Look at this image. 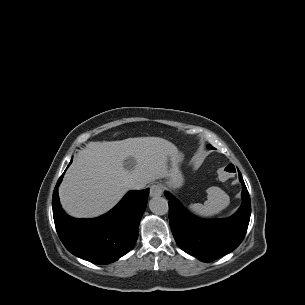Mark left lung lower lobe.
Here are the masks:
<instances>
[{"mask_svg": "<svg viewBox=\"0 0 305 305\" xmlns=\"http://www.w3.org/2000/svg\"><path fill=\"white\" fill-rule=\"evenodd\" d=\"M239 179L243 186V203L233 216L225 219H200L170 193L165 192L169 199L171 230L182 250L203 262H210L239 246L246 234L251 214L250 197L241 174Z\"/></svg>", "mask_w": 305, "mask_h": 305, "instance_id": "left-lung-lower-lobe-1", "label": "left lung lower lobe"}]
</instances>
